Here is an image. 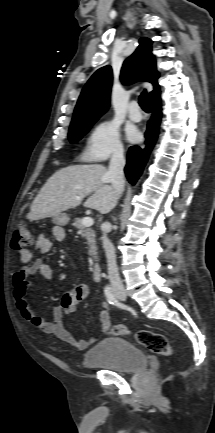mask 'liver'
Wrapping results in <instances>:
<instances>
[{
	"label": "liver",
	"mask_w": 215,
	"mask_h": 433,
	"mask_svg": "<svg viewBox=\"0 0 215 433\" xmlns=\"http://www.w3.org/2000/svg\"><path fill=\"white\" fill-rule=\"evenodd\" d=\"M101 164L71 165L55 172L31 204L27 218L31 221L54 217L81 204L102 214L114 208L118 193L107 179Z\"/></svg>",
	"instance_id": "6515ba94"
}]
</instances>
